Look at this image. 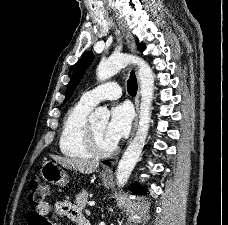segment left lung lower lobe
Here are the masks:
<instances>
[{"label": "left lung lower lobe", "instance_id": "obj_1", "mask_svg": "<svg viewBox=\"0 0 228 225\" xmlns=\"http://www.w3.org/2000/svg\"><path fill=\"white\" fill-rule=\"evenodd\" d=\"M105 164H106V165H110L109 162H105ZM131 190H132V191L134 190L135 192L137 191L138 194H145V192H146V189H144V188L139 189V188L137 187V185H133L132 188H131Z\"/></svg>", "mask_w": 228, "mask_h": 225}]
</instances>
